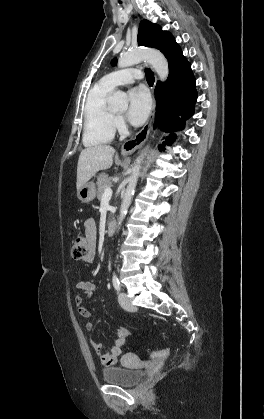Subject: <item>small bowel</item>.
Here are the masks:
<instances>
[{
  "label": "small bowel",
  "instance_id": "1",
  "mask_svg": "<svg viewBox=\"0 0 264 419\" xmlns=\"http://www.w3.org/2000/svg\"><path fill=\"white\" fill-rule=\"evenodd\" d=\"M84 230L89 239L90 249L88 256L85 257L83 261L92 262L96 255V221L94 219H87L84 222ZM76 289L79 292V295L76 298V306L79 315L84 319H89L91 317V313L86 307V301L92 296L96 286L92 281H80L76 284ZM86 329L88 331H93L94 323L92 321H88L86 323ZM128 335L129 330L126 327L118 328L115 334V339L108 350H106L104 346L99 342L93 341L91 343L93 349L100 356L102 365L112 366L117 362L118 357L122 354Z\"/></svg>",
  "mask_w": 264,
  "mask_h": 419
}]
</instances>
